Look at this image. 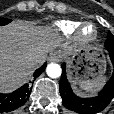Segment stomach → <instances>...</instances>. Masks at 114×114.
I'll list each match as a JSON object with an SVG mask.
<instances>
[{
  "mask_svg": "<svg viewBox=\"0 0 114 114\" xmlns=\"http://www.w3.org/2000/svg\"><path fill=\"white\" fill-rule=\"evenodd\" d=\"M60 56L65 58L69 79L75 85L101 78L106 72L107 60L99 48H79L68 55L61 53Z\"/></svg>",
  "mask_w": 114,
  "mask_h": 114,
  "instance_id": "0dacf381",
  "label": "stomach"
}]
</instances>
